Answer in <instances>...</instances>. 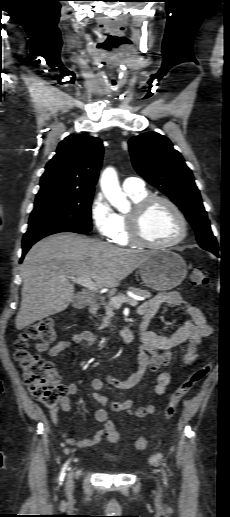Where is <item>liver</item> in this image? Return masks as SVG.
Segmentation results:
<instances>
[{"instance_id":"6515ba94","label":"liver","mask_w":230,"mask_h":517,"mask_svg":"<svg viewBox=\"0 0 230 517\" xmlns=\"http://www.w3.org/2000/svg\"><path fill=\"white\" fill-rule=\"evenodd\" d=\"M150 253L73 233L44 238L32 246L21 267L23 286L16 328L22 330L64 311L75 297L71 277L90 278L99 287L115 288Z\"/></svg>"}]
</instances>
